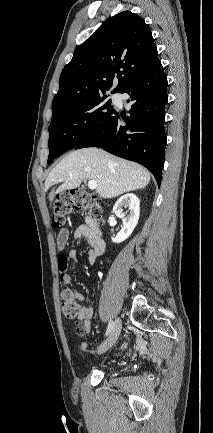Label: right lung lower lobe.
Instances as JSON below:
<instances>
[{
	"instance_id": "right-lung-lower-lobe-1",
	"label": "right lung lower lobe",
	"mask_w": 213,
	"mask_h": 433,
	"mask_svg": "<svg viewBox=\"0 0 213 433\" xmlns=\"http://www.w3.org/2000/svg\"><path fill=\"white\" fill-rule=\"evenodd\" d=\"M167 79L159 59L121 93L131 99L130 116L115 112L109 123L72 149L102 147L109 153L140 163L154 175L158 185L164 165L166 134L163 127L167 103ZM126 125L122 126L121 123Z\"/></svg>"
}]
</instances>
